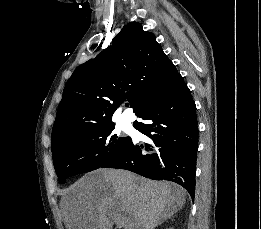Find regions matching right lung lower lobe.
I'll use <instances>...</instances> for the list:
<instances>
[{
  "mask_svg": "<svg viewBox=\"0 0 261 229\" xmlns=\"http://www.w3.org/2000/svg\"><path fill=\"white\" fill-rule=\"evenodd\" d=\"M148 122L134 127L152 141L145 146L132 141L101 168H118L153 180L181 185L195 197L198 149L196 105L183 78L141 116Z\"/></svg>",
  "mask_w": 261,
  "mask_h": 229,
  "instance_id": "right-lung-lower-lobe-1",
  "label": "right lung lower lobe"
}]
</instances>
